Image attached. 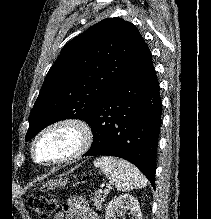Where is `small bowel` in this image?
<instances>
[{
    "instance_id": "1",
    "label": "small bowel",
    "mask_w": 211,
    "mask_h": 219,
    "mask_svg": "<svg viewBox=\"0 0 211 219\" xmlns=\"http://www.w3.org/2000/svg\"><path fill=\"white\" fill-rule=\"evenodd\" d=\"M53 219H100L82 196H73Z\"/></svg>"
}]
</instances>
